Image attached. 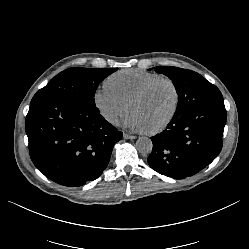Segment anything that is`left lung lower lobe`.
<instances>
[{
	"label": "left lung lower lobe",
	"instance_id": "left-lung-lower-lobe-1",
	"mask_svg": "<svg viewBox=\"0 0 249 249\" xmlns=\"http://www.w3.org/2000/svg\"><path fill=\"white\" fill-rule=\"evenodd\" d=\"M225 124L224 102L202 105L173 116L163 132L151 137L153 149L148 164L174 179L196 174L220 153Z\"/></svg>",
	"mask_w": 249,
	"mask_h": 249
}]
</instances>
